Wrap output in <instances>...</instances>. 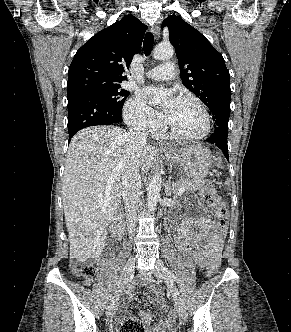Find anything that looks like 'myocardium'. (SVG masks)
<instances>
[{
	"mask_svg": "<svg viewBox=\"0 0 291 332\" xmlns=\"http://www.w3.org/2000/svg\"><path fill=\"white\" fill-rule=\"evenodd\" d=\"M178 100L185 101V102H192L200 108V110L203 114V117H204V121H205L204 129L199 134L186 135V134H182V133L175 131L171 126H169L166 123L164 126L165 131L170 136H172L176 139L186 140V141L201 140V139L205 138L206 136H208L212 129V118H211V115H210V112H209L207 106L200 99H198L194 96L183 95V96H180L178 98Z\"/></svg>",
	"mask_w": 291,
	"mask_h": 332,
	"instance_id": "obj_1",
	"label": "myocardium"
}]
</instances>
